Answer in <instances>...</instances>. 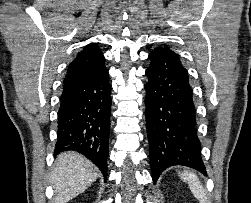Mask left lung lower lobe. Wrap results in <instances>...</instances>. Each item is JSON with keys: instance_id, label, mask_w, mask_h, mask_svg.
I'll return each mask as SVG.
<instances>
[{"instance_id": "left-lung-lower-lobe-1", "label": "left lung lower lobe", "mask_w": 251, "mask_h": 203, "mask_svg": "<svg viewBox=\"0 0 251 203\" xmlns=\"http://www.w3.org/2000/svg\"><path fill=\"white\" fill-rule=\"evenodd\" d=\"M148 59L145 105L153 182L174 165L206 174L187 70L167 46L155 48Z\"/></svg>"}]
</instances>
